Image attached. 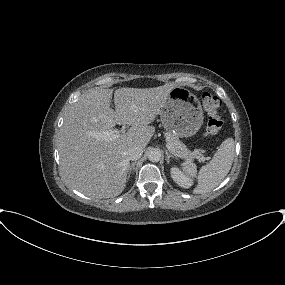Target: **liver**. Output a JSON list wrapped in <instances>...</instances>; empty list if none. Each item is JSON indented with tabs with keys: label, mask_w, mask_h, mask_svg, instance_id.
<instances>
[{
	"label": "liver",
	"mask_w": 285,
	"mask_h": 285,
	"mask_svg": "<svg viewBox=\"0 0 285 285\" xmlns=\"http://www.w3.org/2000/svg\"><path fill=\"white\" fill-rule=\"evenodd\" d=\"M175 87L167 83L154 88L116 89V110L110 108L113 89L83 93L66 113L59 136L61 172L69 185L95 199L121 194L130 166L128 149L147 146L155 132L150 124ZM116 124L131 127L113 141L95 137Z\"/></svg>",
	"instance_id": "liver-1"
}]
</instances>
